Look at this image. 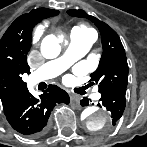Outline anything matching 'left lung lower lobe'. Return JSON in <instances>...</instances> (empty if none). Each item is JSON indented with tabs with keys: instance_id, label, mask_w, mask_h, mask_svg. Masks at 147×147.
I'll return each instance as SVG.
<instances>
[{
	"instance_id": "left-lung-lower-lobe-1",
	"label": "left lung lower lobe",
	"mask_w": 147,
	"mask_h": 147,
	"mask_svg": "<svg viewBox=\"0 0 147 147\" xmlns=\"http://www.w3.org/2000/svg\"><path fill=\"white\" fill-rule=\"evenodd\" d=\"M126 88L125 87H112L101 92L99 107H105L111 113V123L113 126L121 118L126 103ZM89 100L83 98L81 100L82 106H87Z\"/></svg>"
}]
</instances>
